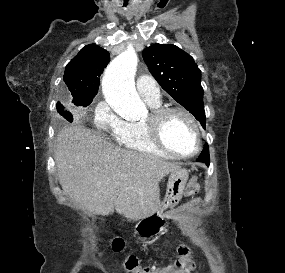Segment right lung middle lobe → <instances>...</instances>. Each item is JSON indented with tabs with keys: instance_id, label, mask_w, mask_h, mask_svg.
Segmentation results:
<instances>
[{
	"instance_id": "1",
	"label": "right lung middle lobe",
	"mask_w": 285,
	"mask_h": 273,
	"mask_svg": "<svg viewBox=\"0 0 285 273\" xmlns=\"http://www.w3.org/2000/svg\"><path fill=\"white\" fill-rule=\"evenodd\" d=\"M92 101H85V102H80V103H75V105L77 106H83L86 107L88 106ZM57 111L58 113L63 116L66 120H68L69 122L73 121V117L71 115V113H69L68 111H64L63 110V106L58 102L57 103Z\"/></svg>"
}]
</instances>
